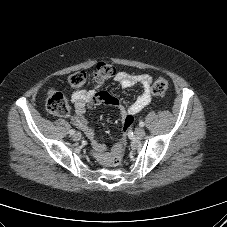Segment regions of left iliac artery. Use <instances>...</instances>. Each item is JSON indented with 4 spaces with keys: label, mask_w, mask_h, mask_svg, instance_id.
Segmentation results:
<instances>
[{
    "label": "left iliac artery",
    "mask_w": 227,
    "mask_h": 227,
    "mask_svg": "<svg viewBox=\"0 0 227 227\" xmlns=\"http://www.w3.org/2000/svg\"><path fill=\"white\" fill-rule=\"evenodd\" d=\"M144 125H145V123H144L143 121H140V122H139V126H140V127H144Z\"/></svg>",
    "instance_id": "44dca946"
}]
</instances>
